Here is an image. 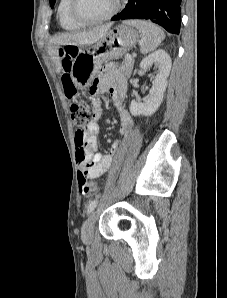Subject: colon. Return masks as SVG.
Returning <instances> with one entry per match:
<instances>
[{
    "instance_id": "colon-1",
    "label": "colon",
    "mask_w": 227,
    "mask_h": 298,
    "mask_svg": "<svg viewBox=\"0 0 227 298\" xmlns=\"http://www.w3.org/2000/svg\"><path fill=\"white\" fill-rule=\"evenodd\" d=\"M77 52V47L73 45H66L60 49L61 64L64 71V74L62 75L64 91L69 98L74 99L71 105V115L73 123L77 127L75 135L76 155L79 160L83 161L85 159V130L83 129V126L91 124L90 117H96V115H90L89 112H87V107H94L93 103L84 102L85 98H89L88 96L84 95L77 98V89L69 75L72 60L76 57ZM77 178H79V188L81 192L85 194H94L98 191L97 185L86 178V173H77Z\"/></svg>"
}]
</instances>
